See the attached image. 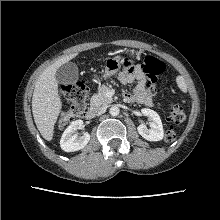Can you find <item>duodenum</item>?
<instances>
[{
	"label": "duodenum",
	"instance_id": "duodenum-1",
	"mask_svg": "<svg viewBox=\"0 0 220 220\" xmlns=\"http://www.w3.org/2000/svg\"><path fill=\"white\" fill-rule=\"evenodd\" d=\"M96 113H97L96 108H95V107H91V108L88 110L87 114H86V118H87L88 120H91V119H93V118L95 117Z\"/></svg>",
	"mask_w": 220,
	"mask_h": 220
}]
</instances>
